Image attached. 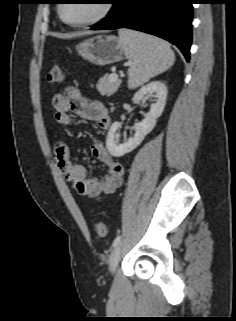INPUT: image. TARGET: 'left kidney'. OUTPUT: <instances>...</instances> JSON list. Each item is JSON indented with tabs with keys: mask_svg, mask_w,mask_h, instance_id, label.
<instances>
[{
	"mask_svg": "<svg viewBox=\"0 0 236 321\" xmlns=\"http://www.w3.org/2000/svg\"><path fill=\"white\" fill-rule=\"evenodd\" d=\"M155 97V103L152 104L150 111L145 114V118L134 125L135 134L122 144L116 143V133L120 129L121 124L114 122L109 129L106 146L110 154L114 157H121L126 153L137 148L143 141L145 136L149 134L156 125L158 117L162 114L167 97V88L160 81H153L142 87L133 97L135 104H140L144 97Z\"/></svg>",
	"mask_w": 236,
	"mask_h": 321,
	"instance_id": "obj_1",
	"label": "left kidney"
}]
</instances>
